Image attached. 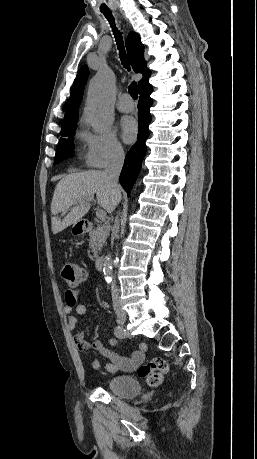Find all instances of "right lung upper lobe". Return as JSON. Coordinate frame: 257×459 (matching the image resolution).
<instances>
[{
	"mask_svg": "<svg viewBox=\"0 0 257 459\" xmlns=\"http://www.w3.org/2000/svg\"><path fill=\"white\" fill-rule=\"evenodd\" d=\"M128 58L133 70L142 73L143 78L139 81V88L148 82L151 71L146 67L144 59V46L140 37L135 32H130L125 40ZM89 71L86 65L82 66L75 78L72 91L67 101L66 114L61 125V132L77 126L78 109L83 96V89L88 78Z\"/></svg>",
	"mask_w": 257,
	"mask_h": 459,
	"instance_id": "obj_1",
	"label": "right lung upper lobe"
}]
</instances>
